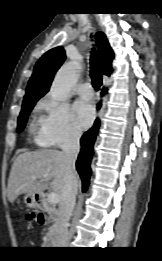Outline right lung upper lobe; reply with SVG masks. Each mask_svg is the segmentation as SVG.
Masks as SVG:
<instances>
[{"label":"right lung upper lobe","mask_w":162,"mask_h":261,"mask_svg":"<svg viewBox=\"0 0 162 261\" xmlns=\"http://www.w3.org/2000/svg\"><path fill=\"white\" fill-rule=\"evenodd\" d=\"M101 62V73L109 76L112 72L114 53L103 32L96 34ZM65 60L63 47H56L47 51L36 63L33 74L28 82L24 100L41 98L48 92L54 74Z\"/></svg>","instance_id":"right-lung-upper-lobe-1"}]
</instances>
